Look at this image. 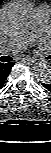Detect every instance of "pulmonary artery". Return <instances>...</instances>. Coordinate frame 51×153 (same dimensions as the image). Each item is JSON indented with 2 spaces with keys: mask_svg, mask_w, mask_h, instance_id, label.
I'll use <instances>...</instances> for the list:
<instances>
[{
  "mask_svg": "<svg viewBox=\"0 0 51 153\" xmlns=\"http://www.w3.org/2000/svg\"><path fill=\"white\" fill-rule=\"evenodd\" d=\"M50 12L51 9L48 5L38 6L34 11L30 32L23 37L6 40L1 44L0 51L14 53L25 49L45 29L50 18Z\"/></svg>",
  "mask_w": 51,
  "mask_h": 153,
  "instance_id": "1",
  "label": "pulmonary artery"
}]
</instances>
